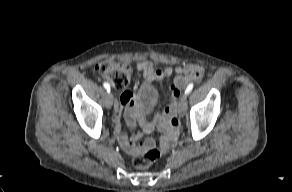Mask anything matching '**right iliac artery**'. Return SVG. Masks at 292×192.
I'll use <instances>...</instances> for the list:
<instances>
[{
  "instance_id": "right-iliac-artery-1",
  "label": "right iliac artery",
  "mask_w": 292,
  "mask_h": 192,
  "mask_svg": "<svg viewBox=\"0 0 292 192\" xmlns=\"http://www.w3.org/2000/svg\"><path fill=\"white\" fill-rule=\"evenodd\" d=\"M103 86L108 92H110V85L107 82H104Z\"/></svg>"
}]
</instances>
